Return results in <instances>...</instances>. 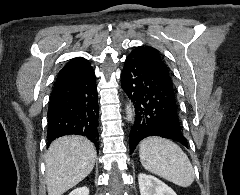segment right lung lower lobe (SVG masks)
<instances>
[{"label":"right lung lower lobe","mask_w":240,"mask_h":195,"mask_svg":"<svg viewBox=\"0 0 240 195\" xmlns=\"http://www.w3.org/2000/svg\"><path fill=\"white\" fill-rule=\"evenodd\" d=\"M98 94L93 69L78 78L56 79L48 108V143L65 135H82L98 146Z\"/></svg>","instance_id":"obj_1"}]
</instances>
